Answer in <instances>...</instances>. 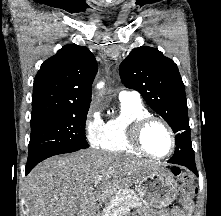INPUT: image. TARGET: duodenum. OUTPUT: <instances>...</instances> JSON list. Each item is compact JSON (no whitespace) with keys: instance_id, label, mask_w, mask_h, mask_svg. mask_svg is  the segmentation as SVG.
<instances>
[{"instance_id":"410a0bca","label":"duodenum","mask_w":221,"mask_h":216,"mask_svg":"<svg viewBox=\"0 0 221 216\" xmlns=\"http://www.w3.org/2000/svg\"><path fill=\"white\" fill-rule=\"evenodd\" d=\"M89 216H97L95 212H92Z\"/></svg>"}]
</instances>
